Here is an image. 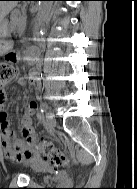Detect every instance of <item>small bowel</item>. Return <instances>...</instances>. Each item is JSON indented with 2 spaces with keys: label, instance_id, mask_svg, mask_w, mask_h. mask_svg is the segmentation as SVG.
Segmentation results:
<instances>
[{
  "label": "small bowel",
  "instance_id": "obj_1",
  "mask_svg": "<svg viewBox=\"0 0 137 189\" xmlns=\"http://www.w3.org/2000/svg\"><path fill=\"white\" fill-rule=\"evenodd\" d=\"M38 71H30L28 76L21 77L20 83L26 81L34 82L37 79ZM7 96L5 91L0 90V142L2 144L5 156L13 163L21 162H42L39 157L32 151L31 146L36 140L35 129L32 124L33 112L29 109L30 100L23 108L22 112V131L21 137L16 136L15 131L10 127L8 116L5 110Z\"/></svg>",
  "mask_w": 137,
  "mask_h": 189
}]
</instances>
